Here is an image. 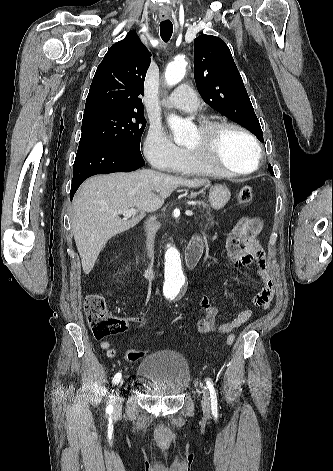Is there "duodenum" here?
Returning <instances> with one entry per match:
<instances>
[{
	"instance_id": "410a0bca",
	"label": "duodenum",
	"mask_w": 333,
	"mask_h": 471,
	"mask_svg": "<svg viewBox=\"0 0 333 471\" xmlns=\"http://www.w3.org/2000/svg\"><path fill=\"white\" fill-rule=\"evenodd\" d=\"M203 241L202 239L200 238H193L186 250H185V254H184V263H185V266L188 268V269H193L196 264L198 263L202 253H203ZM136 260V264L139 265L140 264V260L139 258L136 256L135 258ZM144 274H145V277L149 280H152L154 278V270L152 267H146L144 269Z\"/></svg>"
}]
</instances>
